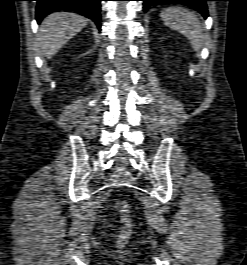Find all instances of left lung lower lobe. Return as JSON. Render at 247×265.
<instances>
[{
    "label": "left lung lower lobe",
    "mask_w": 247,
    "mask_h": 265,
    "mask_svg": "<svg viewBox=\"0 0 247 265\" xmlns=\"http://www.w3.org/2000/svg\"><path fill=\"white\" fill-rule=\"evenodd\" d=\"M144 1L143 9L146 11L152 5L183 4L199 11L205 18L208 16L206 1L211 0H141Z\"/></svg>",
    "instance_id": "0a47b994"
}]
</instances>
